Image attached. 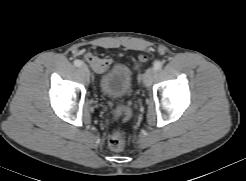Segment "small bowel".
<instances>
[{"label": "small bowel", "instance_id": "small-bowel-1", "mask_svg": "<svg viewBox=\"0 0 246 181\" xmlns=\"http://www.w3.org/2000/svg\"><path fill=\"white\" fill-rule=\"evenodd\" d=\"M85 59L91 65L93 70L99 74L106 72L111 66L110 59L98 57L91 52L86 54Z\"/></svg>", "mask_w": 246, "mask_h": 181}]
</instances>
